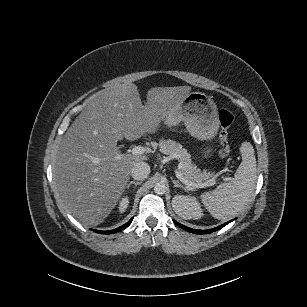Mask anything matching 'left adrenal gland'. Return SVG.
Returning a JSON list of instances; mask_svg holds the SVG:
<instances>
[{
	"label": "left adrenal gland",
	"instance_id": "left-adrenal-gland-1",
	"mask_svg": "<svg viewBox=\"0 0 307 307\" xmlns=\"http://www.w3.org/2000/svg\"><path fill=\"white\" fill-rule=\"evenodd\" d=\"M172 182L174 183V187H179L186 190L185 187L182 184H180L178 180H172Z\"/></svg>",
	"mask_w": 307,
	"mask_h": 307
}]
</instances>
